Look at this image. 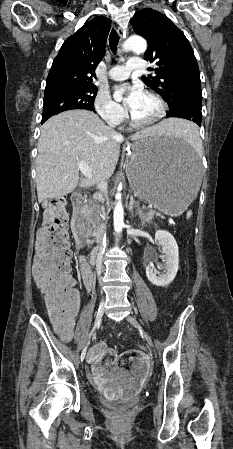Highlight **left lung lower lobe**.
I'll return each mask as SVG.
<instances>
[{
    "label": "left lung lower lobe",
    "instance_id": "left-lung-lower-lobe-1",
    "mask_svg": "<svg viewBox=\"0 0 233 449\" xmlns=\"http://www.w3.org/2000/svg\"><path fill=\"white\" fill-rule=\"evenodd\" d=\"M169 117H178V118H184V119L190 120V119H188L186 112L167 113L166 118H169ZM201 119H202V114L196 112L192 121L196 122L199 126H201Z\"/></svg>",
    "mask_w": 233,
    "mask_h": 449
}]
</instances>
